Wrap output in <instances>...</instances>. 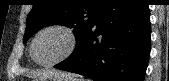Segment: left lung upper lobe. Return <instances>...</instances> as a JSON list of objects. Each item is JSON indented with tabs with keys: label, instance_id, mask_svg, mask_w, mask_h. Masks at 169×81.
I'll return each mask as SVG.
<instances>
[{
	"label": "left lung upper lobe",
	"instance_id": "5c2ea615",
	"mask_svg": "<svg viewBox=\"0 0 169 81\" xmlns=\"http://www.w3.org/2000/svg\"><path fill=\"white\" fill-rule=\"evenodd\" d=\"M108 0H35L27 17L23 42L48 25L74 28L76 47L98 18ZM75 47V48H76Z\"/></svg>",
	"mask_w": 169,
	"mask_h": 81
}]
</instances>
